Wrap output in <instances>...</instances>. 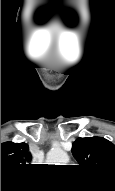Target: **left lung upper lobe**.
Here are the masks:
<instances>
[{
    "instance_id": "5c2ea615",
    "label": "left lung upper lobe",
    "mask_w": 115,
    "mask_h": 191,
    "mask_svg": "<svg viewBox=\"0 0 115 191\" xmlns=\"http://www.w3.org/2000/svg\"><path fill=\"white\" fill-rule=\"evenodd\" d=\"M72 154L84 169L115 185V145L103 137L77 138Z\"/></svg>"
}]
</instances>
